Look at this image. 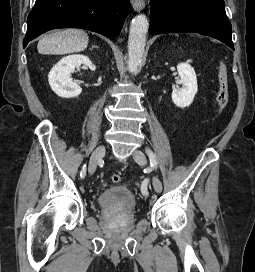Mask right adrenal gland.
Here are the masks:
<instances>
[{"label":"right adrenal gland","mask_w":255,"mask_h":272,"mask_svg":"<svg viewBox=\"0 0 255 272\" xmlns=\"http://www.w3.org/2000/svg\"><path fill=\"white\" fill-rule=\"evenodd\" d=\"M95 47H96V46H94V45L92 46V48H95Z\"/></svg>","instance_id":"obj_1"}]
</instances>
